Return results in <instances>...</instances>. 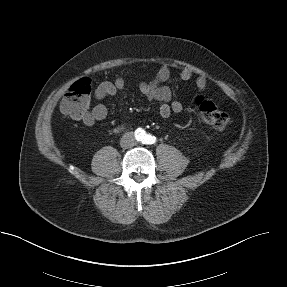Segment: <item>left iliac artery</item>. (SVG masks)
<instances>
[{
  "instance_id": "left-iliac-artery-1",
  "label": "left iliac artery",
  "mask_w": 287,
  "mask_h": 287,
  "mask_svg": "<svg viewBox=\"0 0 287 287\" xmlns=\"http://www.w3.org/2000/svg\"><path fill=\"white\" fill-rule=\"evenodd\" d=\"M156 142V137L150 134L146 135L144 138V143L146 144H154Z\"/></svg>"
}]
</instances>
